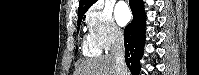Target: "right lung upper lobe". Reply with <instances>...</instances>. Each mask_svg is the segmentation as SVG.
Returning a JSON list of instances; mask_svg holds the SVG:
<instances>
[{"instance_id":"right-lung-upper-lobe-1","label":"right lung upper lobe","mask_w":199,"mask_h":75,"mask_svg":"<svg viewBox=\"0 0 199 75\" xmlns=\"http://www.w3.org/2000/svg\"><path fill=\"white\" fill-rule=\"evenodd\" d=\"M97 0H80L78 8V16H83L86 11L96 2Z\"/></svg>"}]
</instances>
